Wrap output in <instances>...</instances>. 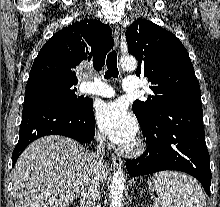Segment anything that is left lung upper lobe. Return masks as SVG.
Returning a JSON list of instances; mask_svg holds the SVG:
<instances>
[{"instance_id": "5c2ea615", "label": "left lung upper lobe", "mask_w": 220, "mask_h": 207, "mask_svg": "<svg viewBox=\"0 0 220 207\" xmlns=\"http://www.w3.org/2000/svg\"><path fill=\"white\" fill-rule=\"evenodd\" d=\"M129 53L138 59L136 75L144 74L154 95L133 103L141 128L182 102L201 101L189 54L180 40L151 21L138 19L126 31Z\"/></svg>"}]
</instances>
